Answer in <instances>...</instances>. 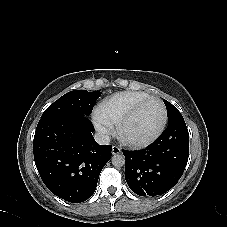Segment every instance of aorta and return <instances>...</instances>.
<instances>
[{
  "instance_id": "1",
  "label": "aorta",
  "mask_w": 227,
  "mask_h": 227,
  "mask_svg": "<svg viewBox=\"0 0 227 227\" xmlns=\"http://www.w3.org/2000/svg\"><path fill=\"white\" fill-rule=\"evenodd\" d=\"M112 165L116 168L123 167L125 165V156L123 154H114L112 156Z\"/></svg>"
}]
</instances>
